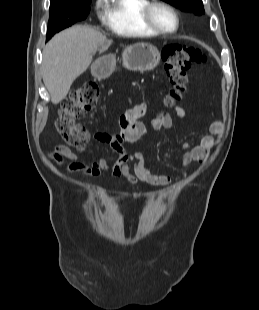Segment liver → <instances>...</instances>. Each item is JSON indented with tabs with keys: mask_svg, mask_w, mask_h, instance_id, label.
Returning a JSON list of instances; mask_svg holds the SVG:
<instances>
[{
	"mask_svg": "<svg viewBox=\"0 0 259 310\" xmlns=\"http://www.w3.org/2000/svg\"><path fill=\"white\" fill-rule=\"evenodd\" d=\"M111 44L112 40L88 26H73L55 35L43 50L42 62L43 81L51 102H61L74 80L90 66L97 49L105 51Z\"/></svg>",
	"mask_w": 259,
	"mask_h": 310,
	"instance_id": "1",
	"label": "liver"
}]
</instances>
